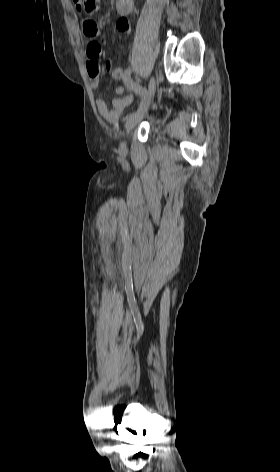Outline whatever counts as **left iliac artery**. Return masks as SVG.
<instances>
[{"label":"left iliac artery","instance_id":"1","mask_svg":"<svg viewBox=\"0 0 280 472\" xmlns=\"http://www.w3.org/2000/svg\"><path fill=\"white\" fill-rule=\"evenodd\" d=\"M131 74H132V68L129 67L125 69L123 72L122 80L125 87L128 90L133 91L134 93L140 96L141 100H140L139 107H142L146 103L148 92L146 88L140 86L138 83H136L132 79Z\"/></svg>","mask_w":280,"mask_h":472}]
</instances>
